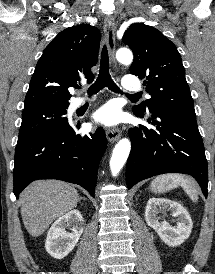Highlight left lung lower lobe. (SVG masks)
Instances as JSON below:
<instances>
[{"label":"left lung lower lobe","mask_w":215,"mask_h":274,"mask_svg":"<svg viewBox=\"0 0 215 274\" xmlns=\"http://www.w3.org/2000/svg\"><path fill=\"white\" fill-rule=\"evenodd\" d=\"M134 110L153 128L139 125L129 130L132 149L126 166L128 189L141 180L163 173L193 176L207 197L208 167L196 116L169 109Z\"/></svg>","instance_id":"0a47b994"}]
</instances>
